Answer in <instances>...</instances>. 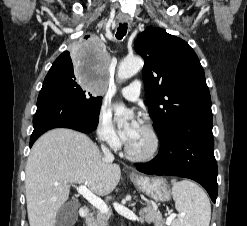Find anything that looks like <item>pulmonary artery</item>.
Returning a JSON list of instances; mask_svg holds the SVG:
<instances>
[{
  "instance_id": "1",
  "label": "pulmonary artery",
  "mask_w": 247,
  "mask_h": 226,
  "mask_svg": "<svg viewBox=\"0 0 247 226\" xmlns=\"http://www.w3.org/2000/svg\"><path fill=\"white\" fill-rule=\"evenodd\" d=\"M141 90L140 81L136 80L121 89L123 97L129 101H136L139 98Z\"/></svg>"
}]
</instances>
